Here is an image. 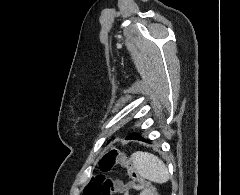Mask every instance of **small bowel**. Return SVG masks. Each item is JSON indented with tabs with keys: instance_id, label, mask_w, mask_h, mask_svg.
<instances>
[{
	"instance_id": "small-bowel-1",
	"label": "small bowel",
	"mask_w": 240,
	"mask_h": 195,
	"mask_svg": "<svg viewBox=\"0 0 240 195\" xmlns=\"http://www.w3.org/2000/svg\"><path fill=\"white\" fill-rule=\"evenodd\" d=\"M146 188H150V186H135V182L129 181L127 183H124L125 192L121 194L131 195V192L133 190H136L139 192V195H148V193H146Z\"/></svg>"
}]
</instances>
